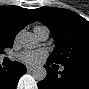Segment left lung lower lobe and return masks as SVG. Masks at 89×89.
Segmentation results:
<instances>
[{"mask_svg":"<svg viewBox=\"0 0 89 89\" xmlns=\"http://www.w3.org/2000/svg\"><path fill=\"white\" fill-rule=\"evenodd\" d=\"M45 68L47 76L38 82L39 89H89L88 66L65 67L62 72L52 71L48 65Z\"/></svg>","mask_w":89,"mask_h":89,"instance_id":"1","label":"left lung lower lobe"}]
</instances>
